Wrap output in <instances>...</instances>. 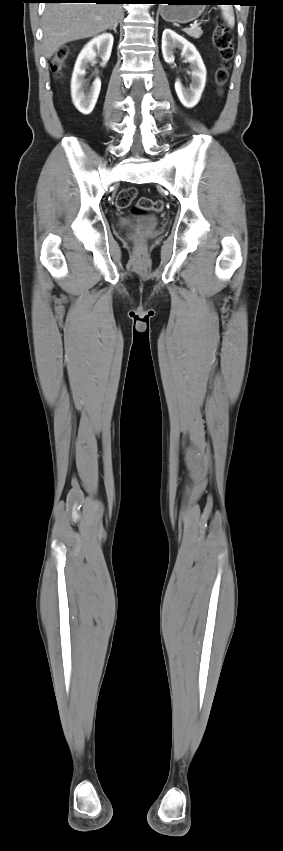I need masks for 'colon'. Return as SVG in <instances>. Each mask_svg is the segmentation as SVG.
I'll use <instances>...</instances> for the list:
<instances>
[{
    "label": "colon",
    "instance_id": "5ec220e1",
    "mask_svg": "<svg viewBox=\"0 0 283 851\" xmlns=\"http://www.w3.org/2000/svg\"><path fill=\"white\" fill-rule=\"evenodd\" d=\"M212 42L215 49L218 51L221 58V65L216 71V82L219 86H223L229 75L231 60L234 56L233 36L228 26L222 17H217L215 20V28L212 34ZM70 48L65 46L59 49L56 56L52 60L51 69L54 73L59 74L69 57ZM137 196V189L129 187L122 189L116 197V206L120 209L129 208ZM163 201L153 200L150 198H141L133 206L134 212L142 211H160L163 208ZM144 244L143 236H139L136 245L141 248Z\"/></svg>",
    "mask_w": 283,
    "mask_h": 851
}]
</instances>
